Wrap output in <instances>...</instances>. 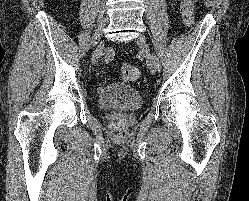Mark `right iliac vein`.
Instances as JSON below:
<instances>
[{
  "mask_svg": "<svg viewBox=\"0 0 249 201\" xmlns=\"http://www.w3.org/2000/svg\"><path fill=\"white\" fill-rule=\"evenodd\" d=\"M103 49H104V43L101 42L97 47L96 49L94 50L93 52V55H92V58H91V62L92 63H95L96 60L101 56L102 52H103Z\"/></svg>",
  "mask_w": 249,
  "mask_h": 201,
  "instance_id": "right-iliac-vein-1",
  "label": "right iliac vein"
}]
</instances>
